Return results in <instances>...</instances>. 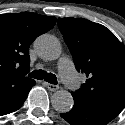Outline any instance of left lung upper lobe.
I'll list each match as a JSON object with an SVG mask.
<instances>
[{"label":"left lung upper lobe","instance_id":"1","mask_svg":"<svg viewBox=\"0 0 125 125\" xmlns=\"http://www.w3.org/2000/svg\"><path fill=\"white\" fill-rule=\"evenodd\" d=\"M77 71L88 80L72 92L85 101L125 103V46L105 26L82 18H58Z\"/></svg>","mask_w":125,"mask_h":125}]
</instances>
